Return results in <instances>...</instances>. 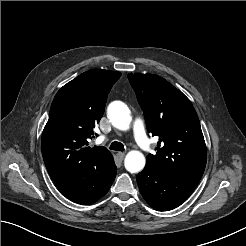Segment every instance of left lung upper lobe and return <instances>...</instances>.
Wrapping results in <instances>:
<instances>
[{
  "label": "left lung upper lobe",
  "instance_id": "5c2ea615",
  "mask_svg": "<svg viewBox=\"0 0 246 246\" xmlns=\"http://www.w3.org/2000/svg\"><path fill=\"white\" fill-rule=\"evenodd\" d=\"M128 78L144 112L148 132L159 137L157 153L147 156L145 167L200 180L207 150L190 100L158 75L130 73Z\"/></svg>",
  "mask_w": 246,
  "mask_h": 246
}]
</instances>
